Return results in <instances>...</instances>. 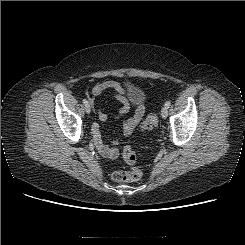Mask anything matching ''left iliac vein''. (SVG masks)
Returning <instances> with one entry per match:
<instances>
[{
    "label": "left iliac vein",
    "instance_id": "left-iliac-vein-1",
    "mask_svg": "<svg viewBox=\"0 0 245 245\" xmlns=\"http://www.w3.org/2000/svg\"><path fill=\"white\" fill-rule=\"evenodd\" d=\"M161 116H162V118H167V116H168V108L167 107H163L162 108V110H161Z\"/></svg>",
    "mask_w": 245,
    "mask_h": 245
}]
</instances>
